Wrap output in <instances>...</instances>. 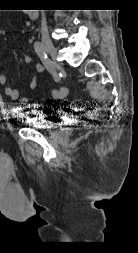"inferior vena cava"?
I'll use <instances>...</instances> for the list:
<instances>
[{"instance_id": "inferior-vena-cava-1", "label": "inferior vena cava", "mask_w": 138, "mask_h": 253, "mask_svg": "<svg viewBox=\"0 0 138 253\" xmlns=\"http://www.w3.org/2000/svg\"><path fill=\"white\" fill-rule=\"evenodd\" d=\"M43 12H44V10H42L41 34H42L43 39H47L49 34H48V28H47L45 14Z\"/></svg>"}]
</instances>
